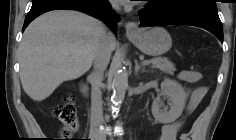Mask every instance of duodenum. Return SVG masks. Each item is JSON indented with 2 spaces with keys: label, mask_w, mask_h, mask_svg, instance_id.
Masks as SVG:
<instances>
[{
  "label": "duodenum",
  "mask_w": 236,
  "mask_h": 140,
  "mask_svg": "<svg viewBox=\"0 0 236 140\" xmlns=\"http://www.w3.org/2000/svg\"><path fill=\"white\" fill-rule=\"evenodd\" d=\"M82 91H83V93H86L87 92V88H86V86L85 85H82Z\"/></svg>",
  "instance_id": "410a0bca"
}]
</instances>
